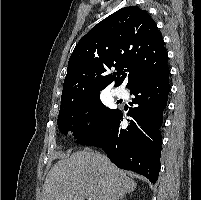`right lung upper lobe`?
Instances as JSON below:
<instances>
[{"label": "right lung upper lobe", "mask_w": 201, "mask_h": 200, "mask_svg": "<svg viewBox=\"0 0 201 200\" xmlns=\"http://www.w3.org/2000/svg\"><path fill=\"white\" fill-rule=\"evenodd\" d=\"M115 68L118 72L110 73ZM167 53L156 23L137 6L99 22L76 45L68 62L61 102L99 93L115 80L128 89L164 72Z\"/></svg>", "instance_id": "right-lung-upper-lobe-1"}]
</instances>
